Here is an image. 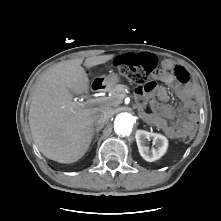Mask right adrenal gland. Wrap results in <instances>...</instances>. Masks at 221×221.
<instances>
[{"instance_id": "1", "label": "right adrenal gland", "mask_w": 221, "mask_h": 221, "mask_svg": "<svg viewBox=\"0 0 221 221\" xmlns=\"http://www.w3.org/2000/svg\"><path fill=\"white\" fill-rule=\"evenodd\" d=\"M102 127H97L94 129V132H93V138L95 137L93 143H95L98 138H99V132L101 131Z\"/></svg>"}]
</instances>
